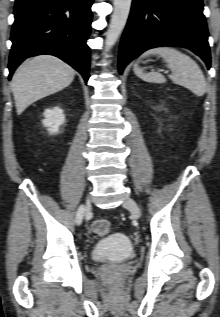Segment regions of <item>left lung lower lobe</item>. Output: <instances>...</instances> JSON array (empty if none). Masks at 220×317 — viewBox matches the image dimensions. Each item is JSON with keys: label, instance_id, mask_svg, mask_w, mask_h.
<instances>
[{"label": "left lung lower lobe", "instance_id": "0a47b994", "mask_svg": "<svg viewBox=\"0 0 220 317\" xmlns=\"http://www.w3.org/2000/svg\"><path fill=\"white\" fill-rule=\"evenodd\" d=\"M208 30L202 0H133L119 51V72L145 50L187 47L210 68Z\"/></svg>", "mask_w": 220, "mask_h": 317}]
</instances>
